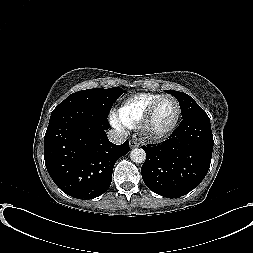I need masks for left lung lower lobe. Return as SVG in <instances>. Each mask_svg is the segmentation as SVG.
<instances>
[{
	"mask_svg": "<svg viewBox=\"0 0 253 253\" xmlns=\"http://www.w3.org/2000/svg\"><path fill=\"white\" fill-rule=\"evenodd\" d=\"M210 119L206 113L183 118L166 141L143 146L146 160L141 174L146 186L167 198H179L206 176L213 150Z\"/></svg>",
	"mask_w": 253,
	"mask_h": 253,
	"instance_id": "left-lung-lower-lobe-1",
	"label": "left lung lower lobe"
}]
</instances>
